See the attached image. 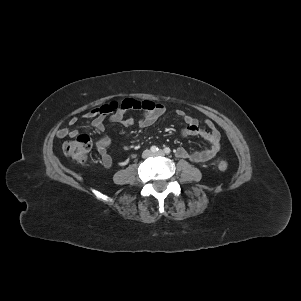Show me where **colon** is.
<instances>
[{"label":"colon","instance_id":"5ec220e1","mask_svg":"<svg viewBox=\"0 0 301 301\" xmlns=\"http://www.w3.org/2000/svg\"><path fill=\"white\" fill-rule=\"evenodd\" d=\"M120 108V103L111 102L100 107V112L111 113ZM92 142L89 136L85 134L78 135L75 139L67 141L63 145L64 154L77 163L87 161L91 151ZM220 171H226L228 164L225 161H220L217 165Z\"/></svg>","mask_w":301,"mask_h":301}]
</instances>
